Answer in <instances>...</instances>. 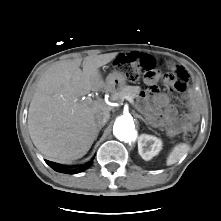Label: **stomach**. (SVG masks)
Instances as JSON below:
<instances>
[{
    "label": "stomach",
    "instance_id": "stomach-1",
    "mask_svg": "<svg viewBox=\"0 0 221 221\" xmlns=\"http://www.w3.org/2000/svg\"><path fill=\"white\" fill-rule=\"evenodd\" d=\"M126 84V78L119 72L111 73L106 79V86L109 91H120Z\"/></svg>",
    "mask_w": 221,
    "mask_h": 221
}]
</instances>
